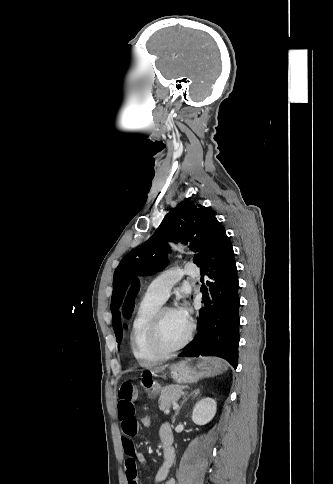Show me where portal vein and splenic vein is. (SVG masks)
I'll list each match as a JSON object with an SVG mask.
<instances>
[{"instance_id":"18ae733b","label":"portal vein and splenic vein","mask_w":333,"mask_h":484,"mask_svg":"<svg viewBox=\"0 0 333 484\" xmlns=\"http://www.w3.org/2000/svg\"><path fill=\"white\" fill-rule=\"evenodd\" d=\"M178 406H179L178 404H174L173 409H177V408H178ZM168 412H169L168 410H166V411H165V413H166V414H167Z\"/></svg>"}]
</instances>
